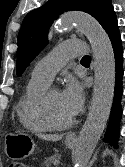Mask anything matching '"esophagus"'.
Returning <instances> with one entry per match:
<instances>
[{
    "instance_id": "esophagus-1",
    "label": "esophagus",
    "mask_w": 125,
    "mask_h": 167,
    "mask_svg": "<svg viewBox=\"0 0 125 167\" xmlns=\"http://www.w3.org/2000/svg\"><path fill=\"white\" fill-rule=\"evenodd\" d=\"M76 138H77V136L73 132L68 133L67 136H66L67 140H75Z\"/></svg>"
}]
</instances>
